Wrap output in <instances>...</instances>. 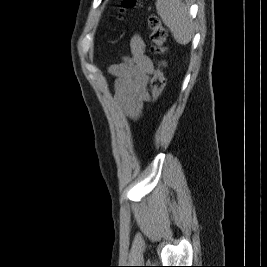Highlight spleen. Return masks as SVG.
Instances as JSON below:
<instances>
[{"label":"spleen","instance_id":"1","mask_svg":"<svg viewBox=\"0 0 267 267\" xmlns=\"http://www.w3.org/2000/svg\"><path fill=\"white\" fill-rule=\"evenodd\" d=\"M155 5L158 15L170 29L176 42L188 44L194 35L188 7L181 0H157Z\"/></svg>","mask_w":267,"mask_h":267}]
</instances>
